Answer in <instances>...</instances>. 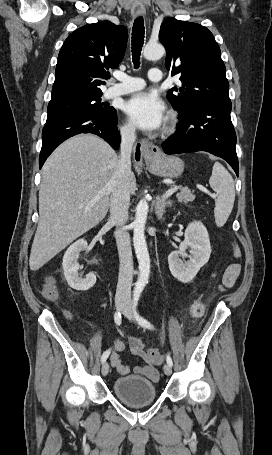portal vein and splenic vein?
Listing matches in <instances>:
<instances>
[{"mask_svg":"<svg viewBox=\"0 0 272 455\" xmlns=\"http://www.w3.org/2000/svg\"><path fill=\"white\" fill-rule=\"evenodd\" d=\"M177 190H178V187H177V186L170 188V189L166 192L165 198L171 196V195H172L173 193H175Z\"/></svg>","mask_w":272,"mask_h":455,"instance_id":"1","label":"portal vein and splenic vein"}]
</instances>
